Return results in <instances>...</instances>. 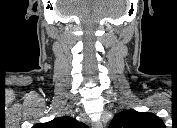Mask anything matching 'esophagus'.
<instances>
[{
  "instance_id": "1",
  "label": "esophagus",
  "mask_w": 177,
  "mask_h": 128,
  "mask_svg": "<svg viewBox=\"0 0 177 128\" xmlns=\"http://www.w3.org/2000/svg\"><path fill=\"white\" fill-rule=\"evenodd\" d=\"M92 128H103V125H102V123L97 122L92 125Z\"/></svg>"
}]
</instances>
